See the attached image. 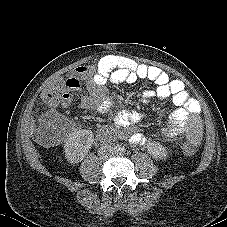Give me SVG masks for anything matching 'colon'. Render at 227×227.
I'll return each mask as SVG.
<instances>
[{
	"instance_id": "colon-1",
	"label": "colon",
	"mask_w": 227,
	"mask_h": 227,
	"mask_svg": "<svg viewBox=\"0 0 227 227\" xmlns=\"http://www.w3.org/2000/svg\"><path fill=\"white\" fill-rule=\"evenodd\" d=\"M63 80H56L47 85L41 92V101L48 107H56L62 102L64 91ZM69 131V124L62 118H54L44 124L38 132V141L42 146L50 147L61 143ZM182 153L188 157L196 154L193 145L184 143Z\"/></svg>"
}]
</instances>
